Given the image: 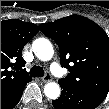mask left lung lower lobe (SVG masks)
Returning a JSON list of instances; mask_svg holds the SVG:
<instances>
[{"label": "left lung lower lobe", "mask_w": 109, "mask_h": 109, "mask_svg": "<svg viewBox=\"0 0 109 109\" xmlns=\"http://www.w3.org/2000/svg\"><path fill=\"white\" fill-rule=\"evenodd\" d=\"M58 83L62 93L58 99L52 101L55 109H94L105 99L67 82L58 81Z\"/></svg>", "instance_id": "0a47b994"}]
</instances>
